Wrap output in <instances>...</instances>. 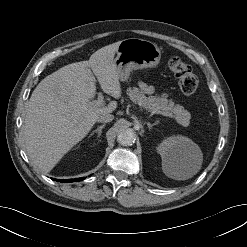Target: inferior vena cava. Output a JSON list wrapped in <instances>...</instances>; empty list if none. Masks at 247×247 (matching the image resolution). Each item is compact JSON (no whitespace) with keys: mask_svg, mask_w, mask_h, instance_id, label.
<instances>
[{"mask_svg":"<svg viewBox=\"0 0 247 247\" xmlns=\"http://www.w3.org/2000/svg\"><path fill=\"white\" fill-rule=\"evenodd\" d=\"M114 119V116L112 114H100L97 117V121L100 123H108L111 122Z\"/></svg>","mask_w":247,"mask_h":247,"instance_id":"obj_1","label":"inferior vena cava"}]
</instances>
